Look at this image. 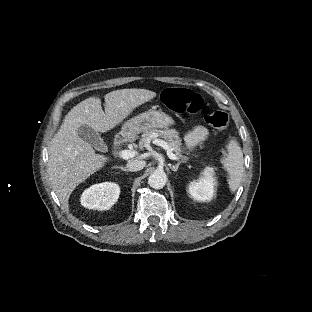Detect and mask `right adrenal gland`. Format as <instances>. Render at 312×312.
<instances>
[{
	"instance_id": "1",
	"label": "right adrenal gland",
	"mask_w": 312,
	"mask_h": 312,
	"mask_svg": "<svg viewBox=\"0 0 312 312\" xmlns=\"http://www.w3.org/2000/svg\"><path fill=\"white\" fill-rule=\"evenodd\" d=\"M119 169H121L122 171H124V172H127V174H128V172H129V170L126 168V167H118Z\"/></svg>"
}]
</instances>
